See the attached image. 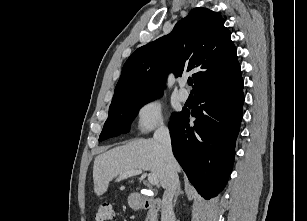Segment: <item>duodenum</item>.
Returning <instances> with one entry per match:
<instances>
[{"label": "duodenum", "instance_id": "1", "mask_svg": "<svg viewBox=\"0 0 307 221\" xmlns=\"http://www.w3.org/2000/svg\"><path fill=\"white\" fill-rule=\"evenodd\" d=\"M135 206L138 209H147L150 211L152 221H157L158 214L162 207V200L158 198L135 197Z\"/></svg>", "mask_w": 307, "mask_h": 221}]
</instances>
